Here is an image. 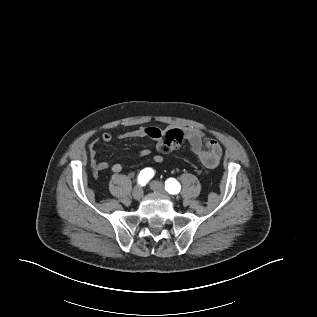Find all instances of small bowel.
<instances>
[{"mask_svg": "<svg viewBox=\"0 0 317 317\" xmlns=\"http://www.w3.org/2000/svg\"><path fill=\"white\" fill-rule=\"evenodd\" d=\"M185 139L187 140L191 151L196 155L200 164L207 168L212 169L216 167L223 154V149L217 140L207 138L205 133L194 127H186L183 130ZM163 131L155 127H139L134 130L125 131L120 133L117 137L119 139H133L149 137L156 141L158 154L152 156V161L155 163H161L163 156L161 153L162 136ZM113 137L110 133L105 132L101 135V140L105 143L112 141ZM98 150L95 143L89 147L90 166L93 172L96 174L100 171L110 169L113 173L117 174L122 171V165L119 163H109L106 161H100L97 158ZM141 157H148L151 155V150L144 148L139 152Z\"/></svg>", "mask_w": 317, "mask_h": 317, "instance_id": "obj_1", "label": "small bowel"}]
</instances>
